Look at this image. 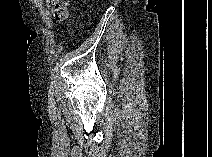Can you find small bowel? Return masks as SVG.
I'll return each mask as SVG.
<instances>
[{"label": "small bowel", "mask_w": 212, "mask_h": 157, "mask_svg": "<svg viewBox=\"0 0 212 157\" xmlns=\"http://www.w3.org/2000/svg\"><path fill=\"white\" fill-rule=\"evenodd\" d=\"M34 6L38 10L39 16L42 18L44 21L45 25L48 28L52 27V20H51V13L50 11L44 6V3L42 0H34Z\"/></svg>", "instance_id": "small-bowel-1"}]
</instances>
